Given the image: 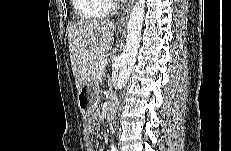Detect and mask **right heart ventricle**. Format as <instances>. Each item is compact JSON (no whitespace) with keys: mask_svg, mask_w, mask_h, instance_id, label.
<instances>
[{"mask_svg":"<svg viewBox=\"0 0 231 151\" xmlns=\"http://www.w3.org/2000/svg\"><path fill=\"white\" fill-rule=\"evenodd\" d=\"M74 7L81 24L98 21L108 13L107 2L102 0H75Z\"/></svg>","mask_w":231,"mask_h":151,"instance_id":"1","label":"right heart ventricle"}]
</instances>
